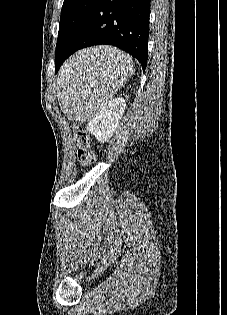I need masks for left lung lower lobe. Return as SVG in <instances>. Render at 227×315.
I'll list each match as a JSON object with an SVG mask.
<instances>
[{
  "instance_id": "left-lung-lower-lobe-1",
  "label": "left lung lower lobe",
  "mask_w": 227,
  "mask_h": 315,
  "mask_svg": "<svg viewBox=\"0 0 227 315\" xmlns=\"http://www.w3.org/2000/svg\"><path fill=\"white\" fill-rule=\"evenodd\" d=\"M151 0H100L66 47L55 55V73L74 52L94 45H113L133 57L145 71L148 59Z\"/></svg>"
}]
</instances>
